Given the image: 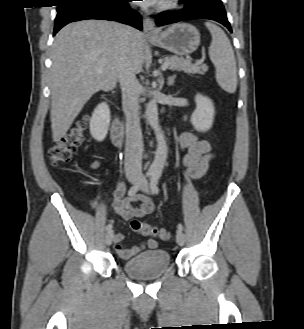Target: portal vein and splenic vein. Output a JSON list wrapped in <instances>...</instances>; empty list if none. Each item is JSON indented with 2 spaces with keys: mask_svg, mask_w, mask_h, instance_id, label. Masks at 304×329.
I'll use <instances>...</instances> for the list:
<instances>
[{
  "mask_svg": "<svg viewBox=\"0 0 304 329\" xmlns=\"http://www.w3.org/2000/svg\"><path fill=\"white\" fill-rule=\"evenodd\" d=\"M168 68V63L164 62L162 65V70H166ZM98 72H102V69H97Z\"/></svg>",
  "mask_w": 304,
  "mask_h": 329,
  "instance_id": "18ae733b",
  "label": "portal vein and splenic vein"
}]
</instances>
